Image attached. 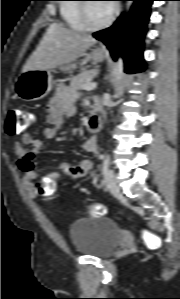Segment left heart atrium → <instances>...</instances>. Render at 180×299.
Segmentation results:
<instances>
[{
  "instance_id": "left-heart-atrium-1",
  "label": "left heart atrium",
  "mask_w": 180,
  "mask_h": 299,
  "mask_svg": "<svg viewBox=\"0 0 180 299\" xmlns=\"http://www.w3.org/2000/svg\"><path fill=\"white\" fill-rule=\"evenodd\" d=\"M107 6H108L109 10L112 11V9H113V4H112V3H109V4H107Z\"/></svg>"
}]
</instances>
